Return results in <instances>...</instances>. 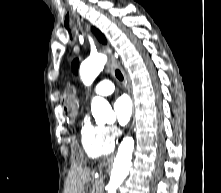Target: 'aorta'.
<instances>
[{
	"mask_svg": "<svg viewBox=\"0 0 221 193\" xmlns=\"http://www.w3.org/2000/svg\"><path fill=\"white\" fill-rule=\"evenodd\" d=\"M107 58L103 54L88 57L82 62L79 74L85 85H91L99 73L104 69ZM91 111L97 121H108L114 113L108 101L102 97H94L91 102ZM134 140L125 137L119 145L117 155L114 159L113 169L108 183V193H116L117 188L127 177L131 159L134 151Z\"/></svg>",
	"mask_w": 221,
	"mask_h": 193,
	"instance_id": "obj_1",
	"label": "aorta"
}]
</instances>
